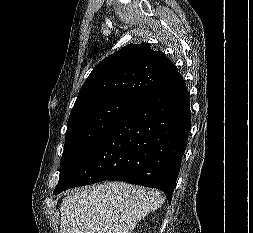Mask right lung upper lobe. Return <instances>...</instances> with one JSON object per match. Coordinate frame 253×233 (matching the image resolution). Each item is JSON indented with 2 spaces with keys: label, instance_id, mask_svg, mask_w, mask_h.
I'll return each mask as SVG.
<instances>
[{
  "label": "right lung upper lobe",
  "instance_id": "right-lung-upper-lobe-1",
  "mask_svg": "<svg viewBox=\"0 0 253 233\" xmlns=\"http://www.w3.org/2000/svg\"><path fill=\"white\" fill-rule=\"evenodd\" d=\"M178 71L148 43L129 44L95 66L72 110L111 97L136 100Z\"/></svg>",
  "mask_w": 253,
  "mask_h": 233
}]
</instances>
